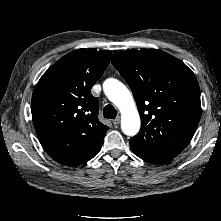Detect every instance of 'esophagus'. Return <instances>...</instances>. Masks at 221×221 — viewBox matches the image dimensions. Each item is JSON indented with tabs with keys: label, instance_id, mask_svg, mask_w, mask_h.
I'll use <instances>...</instances> for the list:
<instances>
[{
	"label": "esophagus",
	"instance_id": "34e87169",
	"mask_svg": "<svg viewBox=\"0 0 221 221\" xmlns=\"http://www.w3.org/2000/svg\"><path fill=\"white\" fill-rule=\"evenodd\" d=\"M120 123V117H117L113 120V124L116 126Z\"/></svg>",
	"mask_w": 221,
	"mask_h": 221
}]
</instances>
